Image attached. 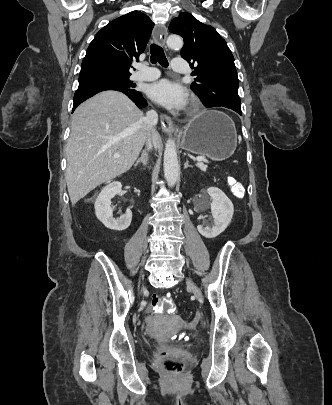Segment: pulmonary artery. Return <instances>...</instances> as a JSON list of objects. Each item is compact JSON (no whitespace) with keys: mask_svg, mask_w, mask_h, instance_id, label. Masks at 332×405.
<instances>
[{"mask_svg":"<svg viewBox=\"0 0 332 405\" xmlns=\"http://www.w3.org/2000/svg\"><path fill=\"white\" fill-rule=\"evenodd\" d=\"M138 68L139 71L134 75V79L137 81H151L160 76L159 70L154 67L139 65ZM172 70L180 74L186 73L188 70L187 62L182 58H174L172 60Z\"/></svg>","mask_w":332,"mask_h":405,"instance_id":"pulmonary-artery-1","label":"pulmonary artery"}]
</instances>
